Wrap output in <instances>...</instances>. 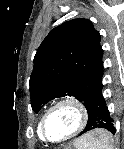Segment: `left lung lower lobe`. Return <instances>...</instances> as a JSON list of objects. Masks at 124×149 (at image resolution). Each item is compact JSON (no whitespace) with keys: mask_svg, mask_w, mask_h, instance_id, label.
<instances>
[{"mask_svg":"<svg viewBox=\"0 0 124 149\" xmlns=\"http://www.w3.org/2000/svg\"><path fill=\"white\" fill-rule=\"evenodd\" d=\"M86 109L88 111V122L81 134L97 128L106 129L112 134L115 133L114 120L110 116L102 96V85L87 98Z\"/></svg>","mask_w":124,"mask_h":149,"instance_id":"0a47b994","label":"left lung lower lobe"}]
</instances>
